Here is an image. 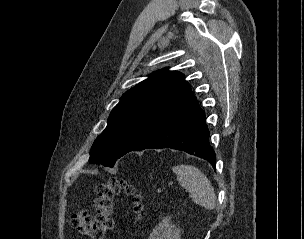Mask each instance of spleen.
Listing matches in <instances>:
<instances>
[{
    "label": "spleen",
    "instance_id": "spleen-1",
    "mask_svg": "<svg viewBox=\"0 0 304 239\" xmlns=\"http://www.w3.org/2000/svg\"><path fill=\"white\" fill-rule=\"evenodd\" d=\"M174 173L181 186L189 191L194 203L207 210H213L216 205V195L208 178L196 167L191 165H177Z\"/></svg>",
    "mask_w": 304,
    "mask_h": 239
}]
</instances>
